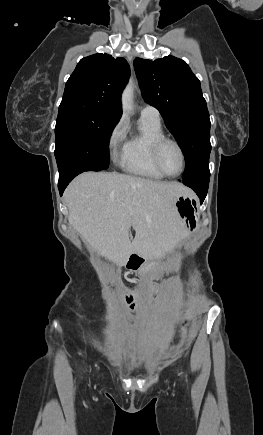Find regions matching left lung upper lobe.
I'll use <instances>...</instances> for the list:
<instances>
[{"instance_id":"obj_1","label":"left lung upper lobe","mask_w":263,"mask_h":435,"mask_svg":"<svg viewBox=\"0 0 263 435\" xmlns=\"http://www.w3.org/2000/svg\"><path fill=\"white\" fill-rule=\"evenodd\" d=\"M134 68L144 100L159 110L183 151V178L209 167V113L200 81L186 62L174 56L136 58Z\"/></svg>"}]
</instances>
